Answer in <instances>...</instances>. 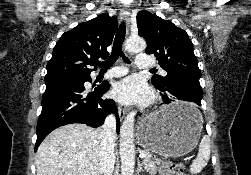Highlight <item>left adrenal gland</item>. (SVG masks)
I'll use <instances>...</instances> for the list:
<instances>
[{"mask_svg": "<svg viewBox=\"0 0 251 175\" xmlns=\"http://www.w3.org/2000/svg\"><path fill=\"white\" fill-rule=\"evenodd\" d=\"M140 171H144V169H142V163L138 157V159H137V173H140Z\"/></svg>", "mask_w": 251, "mask_h": 175, "instance_id": "left-adrenal-gland-1", "label": "left adrenal gland"}]
</instances>
